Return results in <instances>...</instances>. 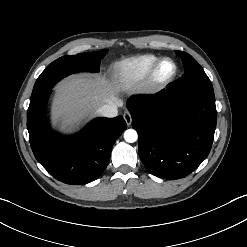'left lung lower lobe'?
I'll use <instances>...</instances> for the list:
<instances>
[{"instance_id":"obj_1","label":"left lung lower lobe","mask_w":247,"mask_h":247,"mask_svg":"<svg viewBox=\"0 0 247 247\" xmlns=\"http://www.w3.org/2000/svg\"><path fill=\"white\" fill-rule=\"evenodd\" d=\"M127 108L138 132L140 159L151 174L184 178L207 158L217 118L213 89L170 86L157 97L129 99Z\"/></svg>"}]
</instances>
